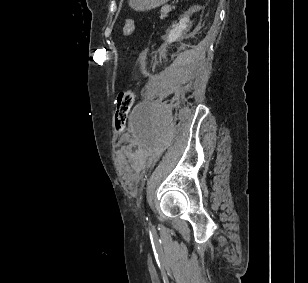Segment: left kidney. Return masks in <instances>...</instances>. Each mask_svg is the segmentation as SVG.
Listing matches in <instances>:
<instances>
[{"mask_svg":"<svg viewBox=\"0 0 308 283\" xmlns=\"http://www.w3.org/2000/svg\"><path fill=\"white\" fill-rule=\"evenodd\" d=\"M197 9V7L193 8L194 11ZM189 22V16H185L180 19L179 23L173 24L172 29L169 31V34L167 36V42L172 43L178 40L181 37L182 32L187 30Z\"/></svg>","mask_w":308,"mask_h":283,"instance_id":"obj_1","label":"left kidney"}]
</instances>
